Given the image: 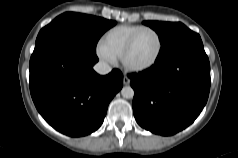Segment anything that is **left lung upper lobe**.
Segmentation results:
<instances>
[{
    "instance_id": "left-lung-upper-lobe-1",
    "label": "left lung upper lobe",
    "mask_w": 238,
    "mask_h": 158,
    "mask_svg": "<svg viewBox=\"0 0 238 158\" xmlns=\"http://www.w3.org/2000/svg\"><path fill=\"white\" fill-rule=\"evenodd\" d=\"M143 23L151 27L159 35L162 47L158 57L167 54L181 45L200 39L197 33L191 31L180 22L144 21Z\"/></svg>"
}]
</instances>
